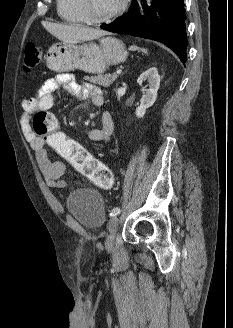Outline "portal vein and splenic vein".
I'll use <instances>...</instances> for the list:
<instances>
[{"label": "portal vein and splenic vein", "mask_w": 233, "mask_h": 328, "mask_svg": "<svg viewBox=\"0 0 233 328\" xmlns=\"http://www.w3.org/2000/svg\"><path fill=\"white\" fill-rule=\"evenodd\" d=\"M121 72H122V70L118 69L115 74L118 75V74H121Z\"/></svg>", "instance_id": "portal-vein-and-splenic-vein-1"}]
</instances>
